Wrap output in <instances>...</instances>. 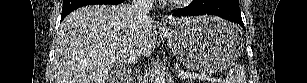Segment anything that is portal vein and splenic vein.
Returning <instances> with one entry per match:
<instances>
[{
	"label": "portal vein and splenic vein",
	"mask_w": 307,
	"mask_h": 83,
	"mask_svg": "<svg viewBox=\"0 0 307 83\" xmlns=\"http://www.w3.org/2000/svg\"><path fill=\"white\" fill-rule=\"evenodd\" d=\"M111 53H112V51L105 52V54H107V55H109ZM178 78H180V79L197 78V79H200V80H207V81L212 80L211 76H209V75H205V74H187V73H184V72L179 73L178 74Z\"/></svg>",
	"instance_id": "18ae733b"
}]
</instances>
